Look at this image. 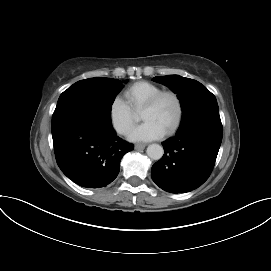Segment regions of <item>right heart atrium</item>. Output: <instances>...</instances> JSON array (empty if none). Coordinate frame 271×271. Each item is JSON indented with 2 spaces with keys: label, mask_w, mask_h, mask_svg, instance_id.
<instances>
[{
  "label": "right heart atrium",
  "mask_w": 271,
  "mask_h": 271,
  "mask_svg": "<svg viewBox=\"0 0 271 271\" xmlns=\"http://www.w3.org/2000/svg\"><path fill=\"white\" fill-rule=\"evenodd\" d=\"M109 121L120 135H127L135 124V114L120 97H115L109 106Z\"/></svg>",
  "instance_id": "obj_1"
}]
</instances>
